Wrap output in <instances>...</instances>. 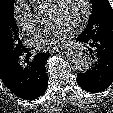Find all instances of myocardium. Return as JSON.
Here are the masks:
<instances>
[{
	"label": "myocardium",
	"instance_id": "obj_1",
	"mask_svg": "<svg viewBox=\"0 0 113 113\" xmlns=\"http://www.w3.org/2000/svg\"><path fill=\"white\" fill-rule=\"evenodd\" d=\"M63 1L64 0H53V2L50 4V7L53 9H58L61 6ZM83 2H84V12L82 17L78 20V22L74 26L76 29H79L83 25H85L91 15V1L83 0Z\"/></svg>",
	"mask_w": 113,
	"mask_h": 113
}]
</instances>
